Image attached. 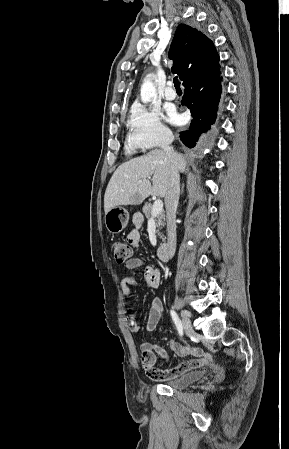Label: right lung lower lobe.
<instances>
[{"mask_svg": "<svg viewBox=\"0 0 289 449\" xmlns=\"http://www.w3.org/2000/svg\"><path fill=\"white\" fill-rule=\"evenodd\" d=\"M182 98L193 117L190 127L180 132L181 141L188 147L196 145L199 136L208 131L215 123L221 95V78L219 64L211 68L203 77L190 81Z\"/></svg>", "mask_w": 289, "mask_h": 449, "instance_id": "obj_1", "label": "right lung lower lobe"}]
</instances>
